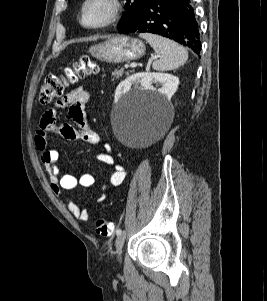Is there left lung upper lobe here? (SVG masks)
Listing matches in <instances>:
<instances>
[{"instance_id": "1", "label": "left lung upper lobe", "mask_w": 267, "mask_h": 301, "mask_svg": "<svg viewBox=\"0 0 267 301\" xmlns=\"http://www.w3.org/2000/svg\"><path fill=\"white\" fill-rule=\"evenodd\" d=\"M147 0H125V12L122 15L120 24L118 27H121L131 21H133L138 15L139 11L146 3Z\"/></svg>"}]
</instances>
